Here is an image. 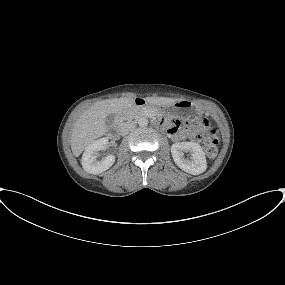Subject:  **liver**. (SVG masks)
Wrapping results in <instances>:
<instances>
[{"instance_id":"1","label":"liver","mask_w":285,"mask_h":285,"mask_svg":"<svg viewBox=\"0 0 285 285\" xmlns=\"http://www.w3.org/2000/svg\"><path fill=\"white\" fill-rule=\"evenodd\" d=\"M180 99L147 97L146 102L153 105L169 106ZM134 105L132 98L107 99L95 103L87 109L73 126L70 143L74 156L78 157L83 150L106 132V117L128 110Z\"/></svg>"}]
</instances>
